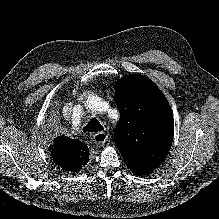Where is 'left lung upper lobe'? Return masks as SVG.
Returning <instances> with one entry per match:
<instances>
[{
  "instance_id": "obj_1",
  "label": "left lung upper lobe",
  "mask_w": 219,
  "mask_h": 219,
  "mask_svg": "<svg viewBox=\"0 0 219 219\" xmlns=\"http://www.w3.org/2000/svg\"><path fill=\"white\" fill-rule=\"evenodd\" d=\"M115 100L120 123L115 143L133 173L152 172L167 157L174 121L163 93L148 78L134 74L118 80Z\"/></svg>"
}]
</instances>
